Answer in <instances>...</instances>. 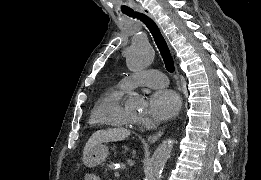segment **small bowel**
I'll return each mask as SVG.
<instances>
[{
  "instance_id": "c3829d8e",
  "label": "small bowel",
  "mask_w": 261,
  "mask_h": 180,
  "mask_svg": "<svg viewBox=\"0 0 261 180\" xmlns=\"http://www.w3.org/2000/svg\"><path fill=\"white\" fill-rule=\"evenodd\" d=\"M86 180H97V176L94 173H88L86 175Z\"/></svg>"
}]
</instances>
